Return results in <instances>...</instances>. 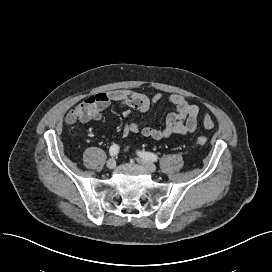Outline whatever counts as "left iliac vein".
Instances as JSON below:
<instances>
[{"instance_id":"obj_1","label":"left iliac vein","mask_w":272,"mask_h":272,"mask_svg":"<svg viewBox=\"0 0 272 272\" xmlns=\"http://www.w3.org/2000/svg\"><path fill=\"white\" fill-rule=\"evenodd\" d=\"M137 162L140 165H142L145 169H147L149 172L154 173L157 170L156 166L152 162H150L144 158H137Z\"/></svg>"}]
</instances>
